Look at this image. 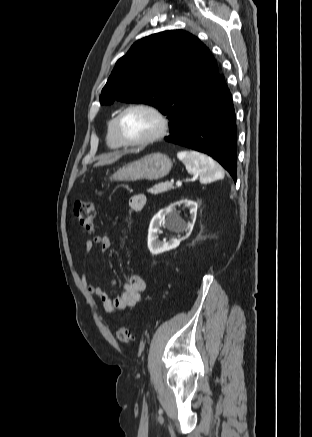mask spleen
Here are the masks:
<instances>
[{
    "label": "spleen",
    "instance_id": "obj_1",
    "mask_svg": "<svg viewBox=\"0 0 312 437\" xmlns=\"http://www.w3.org/2000/svg\"><path fill=\"white\" fill-rule=\"evenodd\" d=\"M188 173L199 176L203 183L224 178V172L212 158L196 151H181L177 153Z\"/></svg>",
    "mask_w": 312,
    "mask_h": 437
}]
</instances>
